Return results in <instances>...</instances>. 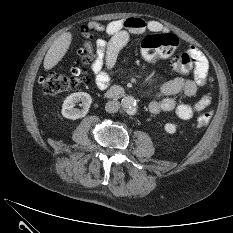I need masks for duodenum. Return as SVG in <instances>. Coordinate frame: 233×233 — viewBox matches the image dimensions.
Masks as SVG:
<instances>
[{"label": "duodenum", "mask_w": 233, "mask_h": 233, "mask_svg": "<svg viewBox=\"0 0 233 233\" xmlns=\"http://www.w3.org/2000/svg\"><path fill=\"white\" fill-rule=\"evenodd\" d=\"M123 89L120 87H112L106 92L108 98H117L123 94Z\"/></svg>", "instance_id": "duodenum-1"}]
</instances>
